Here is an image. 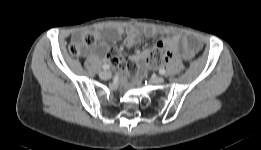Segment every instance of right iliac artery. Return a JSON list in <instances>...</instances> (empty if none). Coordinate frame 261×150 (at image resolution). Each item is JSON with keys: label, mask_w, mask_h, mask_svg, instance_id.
I'll use <instances>...</instances> for the list:
<instances>
[{"label": "right iliac artery", "mask_w": 261, "mask_h": 150, "mask_svg": "<svg viewBox=\"0 0 261 150\" xmlns=\"http://www.w3.org/2000/svg\"><path fill=\"white\" fill-rule=\"evenodd\" d=\"M109 68H110V66H109L108 64H104V65H103V69H104V70H108Z\"/></svg>", "instance_id": "right-iliac-artery-1"}]
</instances>
